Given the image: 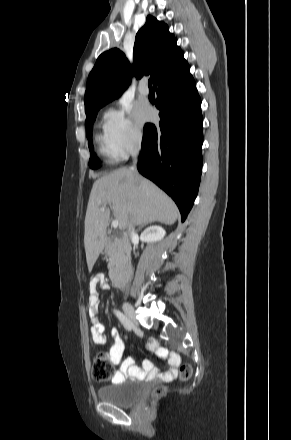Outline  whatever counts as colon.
<instances>
[{"instance_id":"1","label":"colon","mask_w":291,"mask_h":440,"mask_svg":"<svg viewBox=\"0 0 291 440\" xmlns=\"http://www.w3.org/2000/svg\"><path fill=\"white\" fill-rule=\"evenodd\" d=\"M192 367L189 363L182 365L180 375L182 379H188L191 376ZM113 375L111 366L104 355H99L92 364V376L96 381H107ZM164 386H157L153 393L152 399H158L165 393Z\"/></svg>"}]
</instances>
